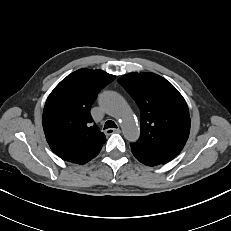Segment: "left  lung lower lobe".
Segmentation results:
<instances>
[{
  "mask_svg": "<svg viewBox=\"0 0 231 231\" xmlns=\"http://www.w3.org/2000/svg\"><path fill=\"white\" fill-rule=\"evenodd\" d=\"M133 155L143 164L147 166H155L159 164H165L174 157L165 153L151 152L138 149L131 146Z\"/></svg>",
  "mask_w": 231,
  "mask_h": 231,
  "instance_id": "left-lung-lower-lobe-1",
  "label": "left lung lower lobe"
}]
</instances>
